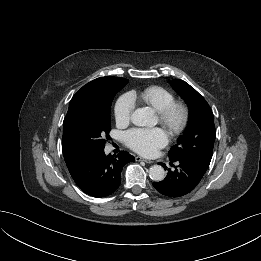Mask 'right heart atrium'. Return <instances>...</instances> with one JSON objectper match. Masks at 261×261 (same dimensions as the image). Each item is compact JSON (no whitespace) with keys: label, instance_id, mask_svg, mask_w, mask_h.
I'll return each mask as SVG.
<instances>
[{"label":"right heart atrium","instance_id":"d8ad5b80","mask_svg":"<svg viewBox=\"0 0 261 261\" xmlns=\"http://www.w3.org/2000/svg\"><path fill=\"white\" fill-rule=\"evenodd\" d=\"M134 101L130 95L121 96L114 106V117L118 125H127L133 114Z\"/></svg>","mask_w":261,"mask_h":261}]
</instances>
